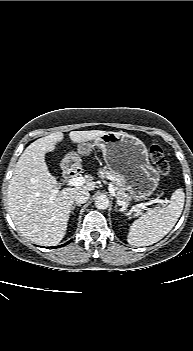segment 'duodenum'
<instances>
[{
	"mask_svg": "<svg viewBox=\"0 0 193 351\" xmlns=\"http://www.w3.org/2000/svg\"><path fill=\"white\" fill-rule=\"evenodd\" d=\"M80 173V170L78 166L76 165L74 160L71 161H66L64 165V174L67 178H73L78 176Z\"/></svg>",
	"mask_w": 193,
	"mask_h": 351,
	"instance_id": "duodenum-1",
	"label": "duodenum"
}]
</instances>
